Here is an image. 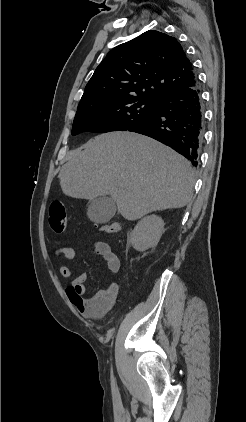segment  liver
I'll return each mask as SVG.
<instances>
[{"label": "liver", "instance_id": "1", "mask_svg": "<svg viewBox=\"0 0 246 422\" xmlns=\"http://www.w3.org/2000/svg\"><path fill=\"white\" fill-rule=\"evenodd\" d=\"M66 196L110 195L127 220L182 208L195 182L190 162L162 143L137 133L99 135L75 151L59 173Z\"/></svg>", "mask_w": 246, "mask_h": 422}]
</instances>
